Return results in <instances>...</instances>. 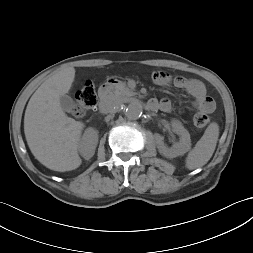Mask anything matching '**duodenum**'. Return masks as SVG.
I'll return each instance as SVG.
<instances>
[{
  "instance_id": "duodenum-1",
  "label": "duodenum",
  "mask_w": 253,
  "mask_h": 253,
  "mask_svg": "<svg viewBox=\"0 0 253 253\" xmlns=\"http://www.w3.org/2000/svg\"><path fill=\"white\" fill-rule=\"evenodd\" d=\"M115 84H117V79H110L108 82H106L103 86L100 87L99 89V97L101 100H105L109 94L110 89L112 88V86H114ZM148 107L150 109H154L155 107V103L153 101H149L148 102Z\"/></svg>"
}]
</instances>
